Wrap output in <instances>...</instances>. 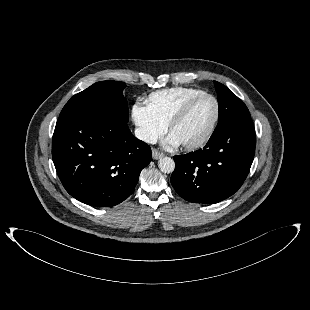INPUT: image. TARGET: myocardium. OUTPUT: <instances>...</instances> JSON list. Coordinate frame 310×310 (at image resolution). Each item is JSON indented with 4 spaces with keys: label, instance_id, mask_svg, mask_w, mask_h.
I'll use <instances>...</instances> for the list:
<instances>
[{
    "label": "myocardium",
    "instance_id": "obj_1",
    "mask_svg": "<svg viewBox=\"0 0 310 310\" xmlns=\"http://www.w3.org/2000/svg\"><path fill=\"white\" fill-rule=\"evenodd\" d=\"M203 98H210L213 100L215 104V114L212 119V122L210 123L208 129L206 132L197 140L189 143H180V146L189 151L197 150L201 147H203L212 137L216 126L218 124L219 118H220V104L217 100V98L209 93H202L200 95H197L195 97H192L188 101H186L179 109L178 111L173 115V117L168 122V131L171 133L174 129V127L180 123L189 113L192 106L198 102L199 100Z\"/></svg>",
    "mask_w": 310,
    "mask_h": 310
}]
</instances>
